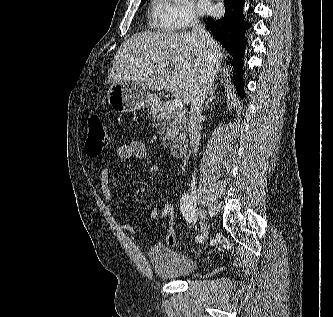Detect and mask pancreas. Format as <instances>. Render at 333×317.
I'll return each mask as SVG.
<instances>
[{
  "instance_id": "obj_1",
  "label": "pancreas",
  "mask_w": 333,
  "mask_h": 317,
  "mask_svg": "<svg viewBox=\"0 0 333 317\" xmlns=\"http://www.w3.org/2000/svg\"><path fill=\"white\" fill-rule=\"evenodd\" d=\"M150 114L157 120L159 133L163 137V144L169 145L183 129L186 123L185 114L180 110H172L170 104L156 99L151 107Z\"/></svg>"
}]
</instances>
